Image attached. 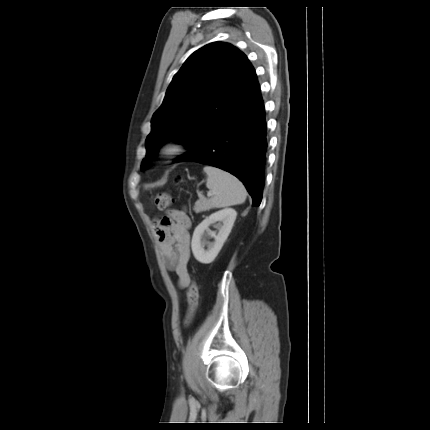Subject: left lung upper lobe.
Masks as SVG:
<instances>
[{
	"label": "left lung upper lobe",
	"instance_id": "left-lung-upper-lobe-1",
	"mask_svg": "<svg viewBox=\"0 0 430 430\" xmlns=\"http://www.w3.org/2000/svg\"><path fill=\"white\" fill-rule=\"evenodd\" d=\"M258 88L253 66L231 44L214 42L195 51L174 75L153 115L146 157L156 156L172 137L189 147L200 127L225 118ZM149 167L143 159L141 171Z\"/></svg>",
	"mask_w": 430,
	"mask_h": 430
}]
</instances>
